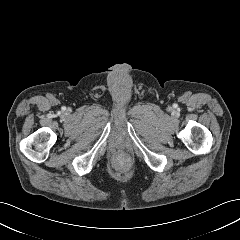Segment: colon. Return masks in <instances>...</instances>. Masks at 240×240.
<instances>
[{"mask_svg": "<svg viewBox=\"0 0 240 240\" xmlns=\"http://www.w3.org/2000/svg\"><path fill=\"white\" fill-rule=\"evenodd\" d=\"M118 163L122 168L126 169L130 166V157L125 153H121L118 156Z\"/></svg>", "mask_w": 240, "mask_h": 240, "instance_id": "5ec220e1", "label": "colon"}]
</instances>
